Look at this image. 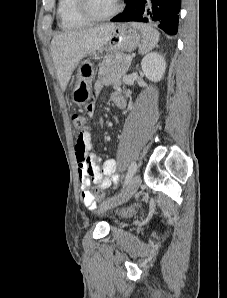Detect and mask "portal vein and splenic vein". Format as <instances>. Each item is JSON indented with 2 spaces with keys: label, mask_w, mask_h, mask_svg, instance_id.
I'll return each instance as SVG.
<instances>
[{
  "label": "portal vein and splenic vein",
  "mask_w": 227,
  "mask_h": 298,
  "mask_svg": "<svg viewBox=\"0 0 227 298\" xmlns=\"http://www.w3.org/2000/svg\"><path fill=\"white\" fill-rule=\"evenodd\" d=\"M126 59L127 61H132V56L128 55Z\"/></svg>",
  "instance_id": "obj_1"
}]
</instances>
